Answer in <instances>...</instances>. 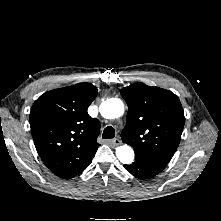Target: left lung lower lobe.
I'll return each mask as SVG.
<instances>
[{"instance_id":"0a47b994","label":"left lung lower lobe","mask_w":221,"mask_h":221,"mask_svg":"<svg viewBox=\"0 0 221 221\" xmlns=\"http://www.w3.org/2000/svg\"><path fill=\"white\" fill-rule=\"evenodd\" d=\"M136 161L130 165H124V168L139 179H147L161 172L168 161L144 156L135 152Z\"/></svg>"}]
</instances>
